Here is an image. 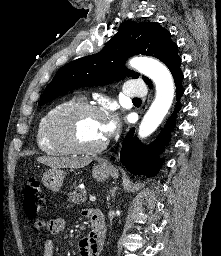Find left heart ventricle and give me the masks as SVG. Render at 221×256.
Wrapping results in <instances>:
<instances>
[{
  "instance_id": "left-heart-ventricle-1",
  "label": "left heart ventricle",
  "mask_w": 221,
  "mask_h": 256,
  "mask_svg": "<svg viewBox=\"0 0 221 256\" xmlns=\"http://www.w3.org/2000/svg\"><path fill=\"white\" fill-rule=\"evenodd\" d=\"M104 118L93 113L77 115L72 123V135L77 144L93 147L105 139L103 132Z\"/></svg>"
}]
</instances>
